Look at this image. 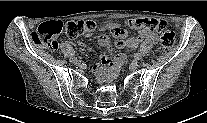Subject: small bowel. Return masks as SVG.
Listing matches in <instances>:
<instances>
[{
    "label": "small bowel",
    "mask_w": 207,
    "mask_h": 123,
    "mask_svg": "<svg viewBox=\"0 0 207 123\" xmlns=\"http://www.w3.org/2000/svg\"><path fill=\"white\" fill-rule=\"evenodd\" d=\"M99 31H110L115 38V45L118 48H123L124 46H127L129 49H135L138 46V44L144 40L150 43L158 42V36L149 29H140L136 36L127 39L126 31L122 28V26L119 23L114 22H109L101 25L99 27ZM98 42L100 46L105 47L107 50L111 51L112 44L108 36H100ZM121 58H123V56H119V58H117L116 60V63H118V61ZM102 62L104 64H111L114 61L110 56L104 55L102 57Z\"/></svg>",
    "instance_id": "small-bowel-1"
}]
</instances>
